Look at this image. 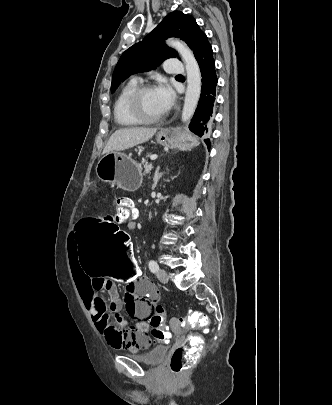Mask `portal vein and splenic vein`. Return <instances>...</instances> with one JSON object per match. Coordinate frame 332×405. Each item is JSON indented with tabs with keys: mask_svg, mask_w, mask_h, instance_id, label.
Listing matches in <instances>:
<instances>
[{
	"mask_svg": "<svg viewBox=\"0 0 332 405\" xmlns=\"http://www.w3.org/2000/svg\"><path fill=\"white\" fill-rule=\"evenodd\" d=\"M157 159V156L156 155H152L151 156V160H156ZM152 168V167H151Z\"/></svg>",
	"mask_w": 332,
	"mask_h": 405,
	"instance_id": "portal-vein-and-splenic-vein-1",
	"label": "portal vein and splenic vein"
}]
</instances>
